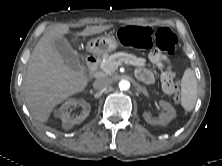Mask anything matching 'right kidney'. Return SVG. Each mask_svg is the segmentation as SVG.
<instances>
[{
    "instance_id": "right-kidney-1",
    "label": "right kidney",
    "mask_w": 222,
    "mask_h": 166,
    "mask_svg": "<svg viewBox=\"0 0 222 166\" xmlns=\"http://www.w3.org/2000/svg\"><path fill=\"white\" fill-rule=\"evenodd\" d=\"M77 105L82 107L81 114L75 117L70 116L69 110L72 107H76ZM90 110L91 106L87 101L83 99H69L64 104H62V106L55 112V115L62 120V127L68 130L72 128L73 125L83 122L89 115Z\"/></svg>"
}]
</instances>
